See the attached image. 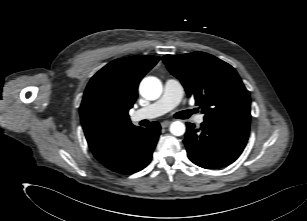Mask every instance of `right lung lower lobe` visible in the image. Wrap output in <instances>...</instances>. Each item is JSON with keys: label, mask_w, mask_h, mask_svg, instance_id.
<instances>
[{"label": "right lung lower lobe", "mask_w": 307, "mask_h": 221, "mask_svg": "<svg viewBox=\"0 0 307 221\" xmlns=\"http://www.w3.org/2000/svg\"><path fill=\"white\" fill-rule=\"evenodd\" d=\"M160 125L152 122L149 128L135 127L94 156L109 170L133 174L146 167L160 135Z\"/></svg>", "instance_id": "obj_1"}]
</instances>
